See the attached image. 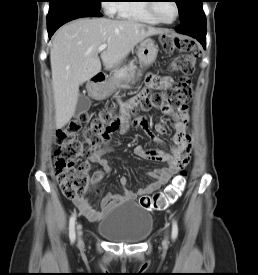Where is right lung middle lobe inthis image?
<instances>
[{"label":"right lung middle lobe","instance_id":"dd1d6c3e","mask_svg":"<svg viewBox=\"0 0 258 275\" xmlns=\"http://www.w3.org/2000/svg\"><path fill=\"white\" fill-rule=\"evenodd\" d=\"M101 1L102 0H50L49 12L66 7L86 8L99 12Z\"/></svg>","mask_w":258,"mask_h":275}]
</instances>
